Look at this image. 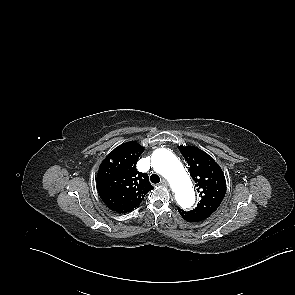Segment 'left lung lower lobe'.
Listing matches in <instances>:
<instances>
[{
  "instance_id": "1",
  "label": "left lung lower lobe",
  "mask_w": 295,
  "mask_h": 295,
  "mask_svg": "<svg viewBox=\"0 0 295 295\" xmlns=\"http://www.w3.org/2000/svg\"><path fill=\"white\" fill-rule=\"evenodd\" d=\"M179 213L182 215V217L189 222H200L204 220L205 218L198 217L195 215L190 214L189 212L183 211L182 209L178 208Z\"/></svg>"
}]
</instances>
